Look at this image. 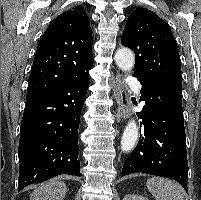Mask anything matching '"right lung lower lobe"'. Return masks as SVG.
Listing matches in <instances>:
<instances>
[{
	"instance_id": "right-lung-lower-lobe-1",
	"label": "right lung lower lobe",
	"mask_w": 201,
	"mask_h": 200,
	"mask_svg": "<svg viewBox=\"0 0 201 200\" xmlns=\"http://www.w3.org/2000/svg\"><path fill=\"white\" fill-rule=\"evenodd\" d=\"M88 71L52 90L26 96L20 128L18 191L60 174L81 176L78 128Z\"/></svg>"
}]
</instances>
